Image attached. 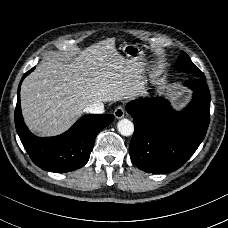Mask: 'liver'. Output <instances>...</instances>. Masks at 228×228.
Returning <instances> with one entry per match:
<instances>
[{"instance_id": "liver-1", "label": "liver", "mask_w": 228, "mask_h": 228, "mask_svg": "<svg viewBox=\"0 0 228 228\" xmlns=\"http://www.w3.org/2000/svg\"><path fill=\"white\" fill-rule=\"evenodd\" d=\"M141 78L137 64L116 50L115 38L93 44L65 62L48 58L21 85L25 123L39 136L60 134L94 103L134 98Z\"/></svg>"}]
</instances>
